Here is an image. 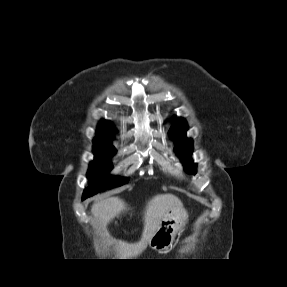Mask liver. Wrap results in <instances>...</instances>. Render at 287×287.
Instances as JSON below:
<instances>
[{"mask_svg":"<svg viewBox=\"0 0 287 287\" xmlns=\"http://www.w3.org/2000/svg\"><path fill=\"white\" fill-rule=\"evenodd\" d=\"M181 200L173 194H158L152 197L146 204L144 211V229L140 241L137 243H127L124 241L116 242V249L122 259L126 257H137L149 244L152 236L158 229L162 218L171 210L181 209ZM127 210V204L118 197H107L96 201L91 206V213L95 218V228L103 236L109 239L110 243L114 240L110 238L107 225L122 212Z\"/></svg>","mask_w":287,"mask_h":287,"instance_id":"obj_1","label":"liver"}]
</instances>
